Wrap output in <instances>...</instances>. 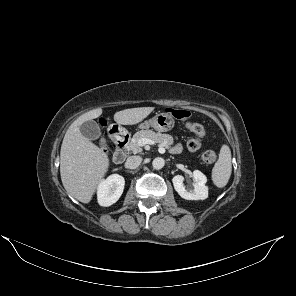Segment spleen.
I'll use <instances>...</instances> for the list:
<instances>
[{
    "label": "spleen",
    "mask_w": 296,
    "mask_h": 296,
    "mask_svg": "<svg viewBox=\"0 0 296 296\" xmlns=\"http://www.w3.org/2000/svg\"><path fill=\"white\" fill-rule=\"evenodd\" d=\"M232 172L231 151L227 145H222L219 158L212 169V181L218 188L227 185Z\"/></svg>",
    "instance_id": "spleen-1"
}]
</instances>
